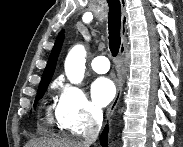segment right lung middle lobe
<instances>
[{"mask_svg":"<svg viewBox=\"0 0 183 147\" xmlns=\"http://www.w3.org/2000/svg\"><path fill=\"white\" fill-rule=\"evenodd\" d=\"M46 89H47V86H46V87H41V88H39L37 97H36V99H35V104H36V102H37L38 100H40V99L44 96V93H45ZM35 104H34V106H35Z\"/></svg>","mask_w":183,"mask_h":147,"instance_id":"obj_1","label":"right lung middle lobe"}]
</instances>
